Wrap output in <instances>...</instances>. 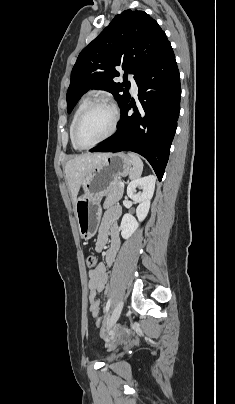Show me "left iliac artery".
Instances as JSON below:
<instances>
[{
	"label": "left iliac artery",
	"mask_w": 235,
	"mask_h": 404,
	"mask_svg": "<svg viewBox=\"0 0 235 404\" xmlns=\"http://www.w3.org/2000/svg\"><path fill=\"white\" fill-rule=\"evenodd\" d=\"M110 303H111V301H110V299H108V301H107V303H106V307H105L106 313H108V311H109Z\"/></svg>",
	"instance_id": "44dca946"
}]
</instances>
